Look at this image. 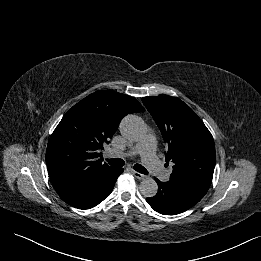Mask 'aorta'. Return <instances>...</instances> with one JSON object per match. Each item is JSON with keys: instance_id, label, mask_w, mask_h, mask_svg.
Instances as JSON below:
<instances>
[{"instance_id": "762f6f07", "label": "aorta", "mask_w": 261, "mask_h": 261, "mask_svg": "<svg viewBox=\"0 0 261 261\" xmlns=\"http://www.w3.org/2000/svg\"><path fill=\"white\" fill-rule=\"evenodd\" d=\"M121 134L132 141L141 139L146 133V127L142 119L135 115L126 116L120 123ZM140 192L145 197H154L158 191V185L153 178L146 177L140 183Z\"/></svg>"}]
</instances>
